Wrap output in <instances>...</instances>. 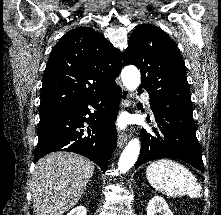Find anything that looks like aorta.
<instances>
[{"label": "aorta", "instance_id": "aorta-1", "mask_svg": "<svg viewBox=\"0 0 221 215\" xmlns=\"http://www.w3.org/2000/svg\"><path fill=\"white\" fill-rule=\"evenodd\" d=\"M123 85L134 91L140 84V72L133 65L126 66L121 72ZM140 153V141L138 138L132 139L123 150L118 162V170L121 173L127 172L136 162Z\"/></svg>", "mask_w": 221, "mask_h": 215}]
</instances>
